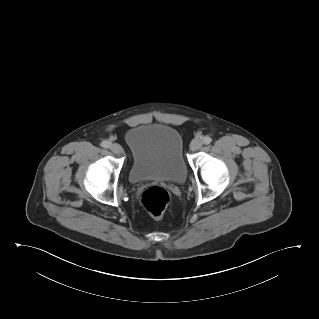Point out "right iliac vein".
Here are the masks:
<instances>
[{
	"instance_id": "63e3f726",
	"label": "right iliac vein",
	"mask_w": 319,
	"mask_h": 319,
	"mask_svg": "<svg viewBox=\"0 0 319 319\" xmlns=\"http://www.w3.org/2000/svg\"><path fill=\"white\" fill-rule=\"evenodd\" d=\"M110 150L115 153L116 155H120L122 154L123 152V149L121 147V145L117 144V143H113L111 146H110Z\"/></svg>"
}]
</instances>
